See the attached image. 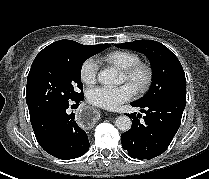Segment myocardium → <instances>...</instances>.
Masks as SVG:
<instances>
[{"label": "myocardium", "instance_id": "f54148a6", "mask_svg": "<svg viewBox=\"0 0 209 179\" xmlns=\"http://www.w3.org/2000/svg\"><path fill=\"white\" fill-rule=\"evenodd\" d=\"M123 75L138 93L146 92L153 81V70L150 65L144 62H137L123 70Z\"/></svg>", "mask_w": 209, "mask_h": 179}]
</instances>
